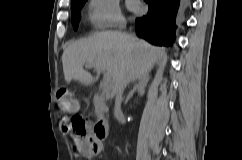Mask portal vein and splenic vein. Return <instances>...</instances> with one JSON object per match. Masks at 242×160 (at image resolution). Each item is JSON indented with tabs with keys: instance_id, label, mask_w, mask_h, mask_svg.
<instances>
[{
	"instance_id": "18ae733b",
	"label": "portal vein and splenic vein",
	"mask_w": 242,
	"mask_h": 160,
	"mask_svg": "<svg viewBox=\"0 0 242 160\" xmlns=\"http://www.w3.org/2000/svg\"><path fill=\"white\" fill-rule=\"evenodd\" d=\"M86 67L91 68L93 66L92 65H86ZM111 88H112L111 78H110V76L107 73H105L104 74V79H103V92L107 93V92H109L111 90Z\"/></svg>"
}]
</instances>
